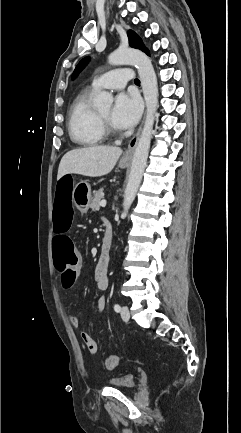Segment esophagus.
I'll return each mask as SVG.
<instances>
[{
	"instance_id": "obj_1",
	"label": "esophagus",
	"mask_w": 241,
	"mask_h": 433,
	"mask_svg": "<svg viewBox=\"0 0 241 433\" xmlns=\"http://www.w3.org/2000/svg\"><path fill=\"white\" fill-rule=\"evenodd\" d=\"M142 129V124L139 127L137 133L134 135V137L129 141L128 147L122 157L123 160H129L132 158L135 147L137 145L138 139H139V135Z\"/></svg>"
}]
</instances>
